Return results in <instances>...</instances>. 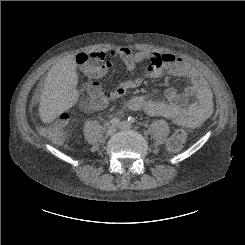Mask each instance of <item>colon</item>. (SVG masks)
Returning <instances> with one entry per match:
<instances>
[{
    "label": "colon",
    "mask_w": 245,
    "mask_h": 245,
    "mask_svg": "<svg viewBox=\"0 0 245 245\" xmlns=\"http://www.w3.org/2000/svg\"><path fill=\"white\" fill-rule=\"evenodd\" d=\"M76 59L79 64H84L88 60V57L83 54H78L76 56ZM92 87L96 91H99L100 89L97 83H93ZM108 92V90L105 91V93ZM68 119V113L64 112L60 114L59 117L52 124L43 129V135H45L47 138L55 143H61L66 138L64 127L66 126ZM187 136L188 133L183 128L174 131L167 141L168 150L171 152H178L182 150L186 143Z\"/></svg>",
    "instance_id": "obj_1"
}]
</instances>
